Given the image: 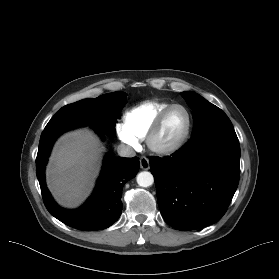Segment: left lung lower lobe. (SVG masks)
<instances>
[{
    "label": "left lung lower lobe",
    "mask_w": 279,
    "mask_h": 279,
    "mask_svg": "<svg viewBox=\"0 0 279 279\" xmlns=\"http://www.w3.org/2000/svg\"><path fill=\"white\" fill-rule=\"evenodd\" d=\"M164 220L178 230L216 223L226 212L240 175V145L234 130L192 137L179 151L150 159Z\"/></svg>",
    "instance_id": "0a47b994"
}]
</instances>
